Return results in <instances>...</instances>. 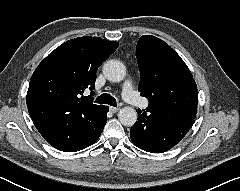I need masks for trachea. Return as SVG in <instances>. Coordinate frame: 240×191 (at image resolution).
<instances>
[{"label":"trachea","mask_w":240,"mask_h":191,"mask_svg":"<svg viewBox=\"0 0 240 191\" xmlns=\"http://www.w3.org/2000/svg\"><path fill=\"white\" fill-rule=\"evenodd\" d=\"M96 103L99 104H108L111 106L116 107V99L111 96L110 94H102L99 97H97V99L95 100Z\"/></svg>","instance_id":"3493384b"}]
</instances>
